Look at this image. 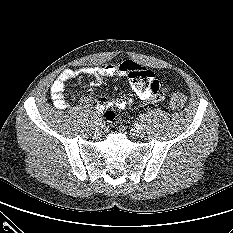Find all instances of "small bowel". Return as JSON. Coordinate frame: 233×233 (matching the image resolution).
<instances>
[{
	"label": "small bowel",
	"instance_id": "obj_1",
	"mask_svg": "<svg viewBox=\"0 0 233 233\" xmlns=\"http://www.w3.org/2000/svg\"><path fill=\"white\" fill-rule=\"evenodd\" d=\"M134 66L142 67L131 60L123 59L99 67H84L78 70L65 69L51 85L52 100L56 107L60 109L66 108L67 102L64 97L66 83L71 79L88 75L93 76L99 82H103L106 78L112 76L127 78L129 80L135 97L117 100L116 107L118 109L133 107L138 102L157 103L161 101L164 98V90L157 75L151 71L152 77L148 81L133 80L130 77V71ZM83 102L88 106H94L98 111H102L107 107V102L104 98L95 100L92 96H85Z\"/></svg>",
	"mask_w": 233,
	"mask_h": 233
}]
</instances>
